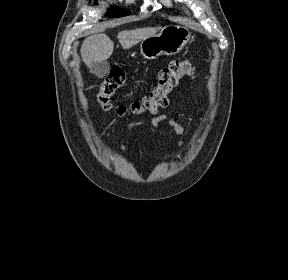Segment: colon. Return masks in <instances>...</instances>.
I'll list each match as a JSON object with an SVG mask.
<instances>
[{"mask_svg":"<svg viewBox=\"0 0 288 280\" xmlns=\"http://www.w3.org/2000/svg\"><path fill=\"white\" fill-rule=\"evenodd\" d=\"M195 68L193 64L184 59L172 61L158 74L157 86L140 100L133 102L130 106L121 105L117 108V114L125 115L128 111L134 114L155 113L158 108L165 107L168 103V94L183 77H194ZM125 82V73L119 65H114L107 77L101 84L97 94V100L103 110L113 109L111 98L118 88Z\"/></svg>","mask_w":288,"mask_h":280,"instance_id":"5ec220e1","label":"colon"}]
</instances>
